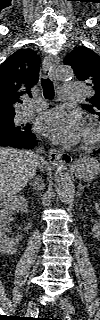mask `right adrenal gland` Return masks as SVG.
<instances>
[{
  "mask_svg": "<svg viewBox=\"0 0 100 320\" xmlns=\"http://www.w3.org/2000/svg\"><path fill=\"white\" fill-rule=\"evenodd\" d=\"M28 184L31 185L35 191H40L42 189L39 178H36L34 182L30 181Z\"/></svg>",
  "mask_w": 100,
  "mask_h": 320,
  "instance_id": "1",
  "label": "right adrenal gland"
}]
</instances>
